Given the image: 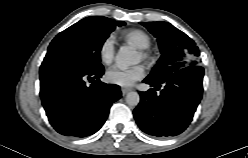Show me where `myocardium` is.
<instances>
[{
  "label": "myocardium",
  "instance_id": "f54148a6",
  "mask_svg": "<svg viewBox=\"0 0 248 158\" xmlns=\"http://www.w3.org/2000/svg\"><path fill=\"white\" fill-rule=\"evenodd\" d=\"M139 54L141 55V59L147 64H151L154 60V57L148 48L139 49Z\"/></svg>",
  "mask_w": 248,
  "mask_h": 158
}]
</instances>
